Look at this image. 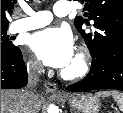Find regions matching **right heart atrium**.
I'll return each instance as SVG.
<instances>
[{
  "instance_id": "right-heart-atrium-1",
  "label": "right heart atrium",
  "mask_w": 123,
  "mask_h": 113,
  "mask_svg": "<svg viewBox=\"0 0 123 113\" xmlns=\"http://www.w3.org/2000/svg\"><path fill=\"white\" fill-rule=\"evenodd\" d=\"M28 67H29L30 70L36 71V70H38L39 65H38V63L36 61L30 60L28 62Z\"/></svg>"
}]
</instances>
